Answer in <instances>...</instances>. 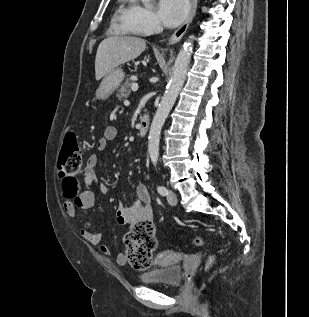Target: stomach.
<instances>
[{
	"mask_svg": "<svg viewBox=\"0 0 309 317\" xmlns=\"http://www.w3.org/2000/svg\"><path fill=\"white\" fill-rule=\"evenodd\" d=\"M124 77L125 74L121 69L111 71L101 82L96 91V97L102 100L107 99L119 87Z\"/></svg>",
	"mask_w": 309,
	"mask_h": 317,
	"instance_id": "1",
	"label": "stomach"
}]
</instances>
